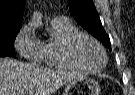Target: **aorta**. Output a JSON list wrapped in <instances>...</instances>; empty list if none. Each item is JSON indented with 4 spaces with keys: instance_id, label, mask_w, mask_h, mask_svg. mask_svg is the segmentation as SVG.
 Wrapping results in <instances>:
<instances>
[{
    "instance_id": "1",
    "label": "aorta",
    "mask_w": 135,
    "mask_h": 95,
    "mask_svg": "<svg viewBox=\"0 0 135 95\" xmlns=\"http://www.w3.org/2000/svg\"><path fill=\"white\" fill-rule=\"evenodd\" d=\"M32 23H33L34 27H40L42 25L41 14L35 13L32 17Z\"/></svg>"
}]
</instances>
